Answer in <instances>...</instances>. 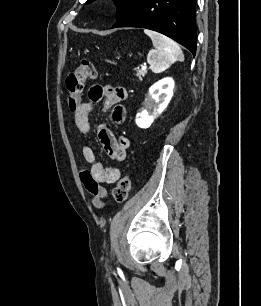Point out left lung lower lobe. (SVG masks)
I'll list each match as a JSON object with an SVG mask.
<instances>
[{
	"instance_id": "0a47b994",
	"label": "left lung lower lobe",
	"mask_w": 261,
	"mask_h": 306,
	"mask_svg": "<svg viewBox=\"0 0 261 306\" xmlns=\"http://www.w3.org/2000/svg\"><path fill=\"white\" fill-rule=\"evenodd\" d=\"M197 0H135L129 11L112 26L144 27L162 33L196 54Z\"/></svg>"
}]
</instances>
